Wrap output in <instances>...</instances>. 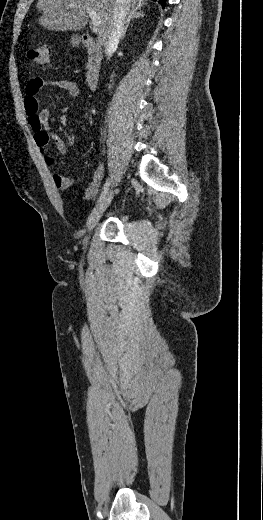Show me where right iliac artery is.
<instances>
[{
    "label": "right iliac artery",
    "mask_w": 263,
    "mask_h": 520,
    "mask_svg": "<svg viewBox=\"0 0 263 520\" xmlns=\"http://www.w3.org/2000/svg\"><path fill=\"white\" fill-rule=\"evenodd\" d=\"M109 186H110V179L108 178L106 183L104 184L103 191L100 194L99 199H98L97 202H100L107 195L108 190H109Z\"/></svg>",
    "instance_id": "82829eb1"
}]
</instances>
